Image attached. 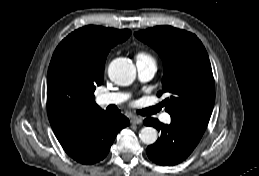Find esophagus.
I'll use <instances>...</instances> for the list:
<instances>
[{"label": "esophagus", "instance_id": "obj_1", "mask_svg": "<svg viewBox=\"0 0 259 176\" xmlns=\"http://www.w3.org/2000/svg\"><path fill=\"white\" fill-rule=\"evenodd\" d=\"M130 122L134 125H139L142 123V118L137 116H132Z\"/></svg>", "mask_w": 259, "mask_h": 176}]
</instances>
